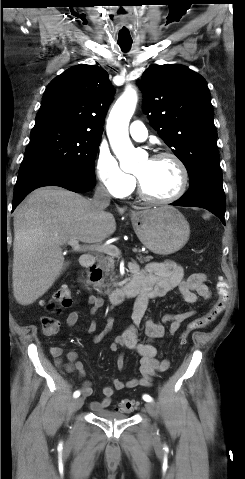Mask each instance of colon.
Listing matches in <instances>:
<instances>
[{
    "mask_svg": "<svg viewBox=\"0 0 245 479\" xmlns=\"http://www.w3.org/2000/svg\"><path fill=\"white\" fill-rule=\"evenodd\" d=\"M218 298L212 307L204 315L191 320L179 336L181 345L188 342L193 331L205 328L213 323L222 313L228 299V290L224 282L217 285ZM73 302L72 291L69 286L62 285L54 293L52 299L46 304V308L53 314H57L69 308ZM42 331L46 335H54L59 330V321L54 316H43L41 318ZM136 408V402L130 399H122L118 402L117 409L124 413H130Z\"/></svg>",
    "mask_w": 245,
    "mask_h": 479,
    "instance_id": "obj_1",
    "label": "colon"
}]
</instances>
